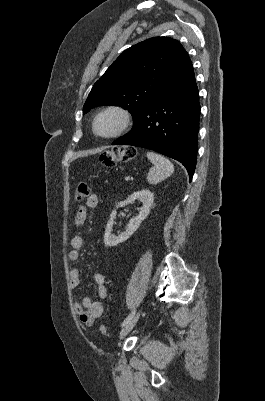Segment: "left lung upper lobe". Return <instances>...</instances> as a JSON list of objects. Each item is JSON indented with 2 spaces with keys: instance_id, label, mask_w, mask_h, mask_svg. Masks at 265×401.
Instances as JSON below:
<instances>
[{
  "instance_id": "1",
  "label": "left lung upper lobe",
  "mask_w": 265,
  "mask_h": 401,
  "mask_svg": "<svg viewBox=\"0 0 265 401\" xmlns=\"http://www.w3.org/2000/svg\"><path fill=\"white\" fill-rule=\"evenodd\" d=\"M191 62L175 39L153 37L120 54L94 84L83 113L100 105L129 109L134 122Z\"/></svg>"
}]
</instances>
